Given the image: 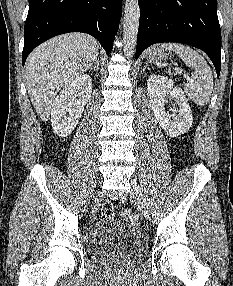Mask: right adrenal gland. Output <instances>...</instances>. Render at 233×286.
I'll list each match as a JSON object with an SVG mask.
<instances>
[{
  "mask_svg": "<svg viewBox=\"0 0 233 286\" xmlns=\"http://www.w3.org/2000/svg\"><path fill=\"white\" fill-rule=\"evenodd\" d=\"M89 69H90V70H93V69H94L95 71L98 72V70H99V58H97V59L95 60L94 65L91 66Z\"/></svg>",
  "mask_w": 233,
  "mask_h": 286,
  "instance_id": "1",
  "label": "right adrenal gland"
}]
</instances>
